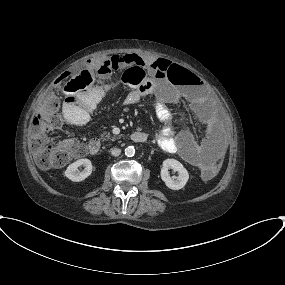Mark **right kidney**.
Listing matches in <instances>:
<instances>
[{
  "label": "right kidney",
  "mask_w": 285,
  "mask_h": 285,
  "mask_svg": "<svg viewBox=\"0 0 285 285\" xmlns=\"http://www.w3.org/2000/svg\"><path fill=\"white\" fill-rule=\"evenodd\" d=\"M84 166V170L82 172L79 171V167ZM92 173V163L89 159H79L73 163H71L66 171L65 176L74 182H80L85 180Z\"/></svg>",
  "instance_id": "obj_1"
}]
</instances>
